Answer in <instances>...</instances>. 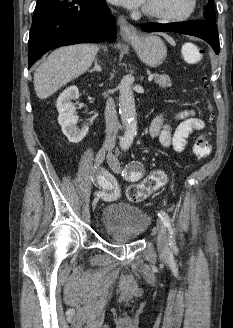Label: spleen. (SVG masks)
I'll return each mask as SVG.
<instances>
[{"label":"spleen","mask_w":233,"mask_h":328,"mask_svg":"<svg viewBox=\"0 0 233 328\" xmlns=\"http://www.w3.org/2000/svg\"><path fill=\"white\" fill-rule=\"evenodd\" d=\"M184 49H192L196 55L198 54L197 48L191 43H186Z\"/></svg>","instance_id":"spleen-1"}]
</instances>
